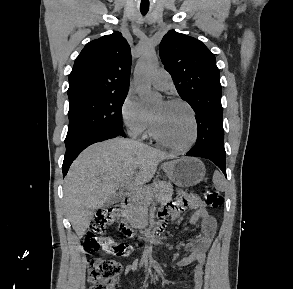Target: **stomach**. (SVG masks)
<instances>
[{"label": "stomach", "instance_id": "1", "mask_svg": "<svg viewBox=\"0 0 293 289\" xmlns=\"http://www.w3.org/2000/svg\"><path fill=\"white\" fill-rule=\"evenodd\" d=\"M167 177L176 185L190 187L200 183L206 174L204 163L195 157H184L162 165Z\"/></svg>", "mask_w": 293, "mask_h": 289}]
</instances>
